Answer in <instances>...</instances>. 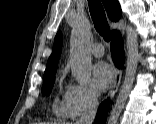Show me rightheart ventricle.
Wrapping results in <instances>:
<instances>
[{"label":"right heart ventricle","mask_w":156,"mask_h":124,"mask_svg":"<svg viewBox=\"0 0 156 124\" xmlns=\"http://www.w3.org/2000/svg\"><path fill=\"white\" fill-rule=\"evenodd\" d=\"M54 111L58 114H64V108H63V105L62 107H59L58 106V103L57 101L54 103Z\"/></svg>","instance_id":"right-heart-ventricle-1"}]
</instances>
